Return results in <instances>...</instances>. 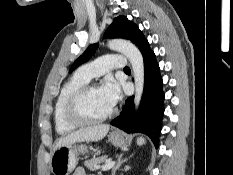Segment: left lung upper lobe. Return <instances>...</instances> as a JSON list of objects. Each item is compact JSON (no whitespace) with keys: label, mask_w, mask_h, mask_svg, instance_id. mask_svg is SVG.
I'll return each mask as SVG.
<instances>
[{"label":"left lung upper lobe","mask_w":233,"mask_h":175,"mask_svg":"<svg viewBox=\"0 0 233 175\" xmlns=\"http://www.w3.org/2000/svg\"><path fill=\"white\" fill-rule=\"evenodd\" d=\"M106 36L114 38L128 39L133 42L141 51L148 43L143 33L139 30L138 26L129 21L124 16H119L114 19L113 23L106 31ZM97 44L90 45L86 51L73 63L70 72L82 63L88 61L94 54Z\"/></svg>","instance_id":"left-lung-upper-lobe-1"}]
</instances>
